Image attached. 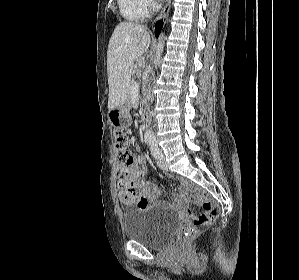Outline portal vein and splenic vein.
Listing matches in <instances>:
<instances>
[{
  "label": "portal vein and splenic vein",
  "instance_id": "18ae733b",
  "mask_svg": "<svg viewBox=\"0 0 299 280\" xmlns=\"http://www.w3.org/2000/svg\"><path fill=\"white\" fill-rule=\"evenodd\" d=\"M131 95H137L139 93V83L134 82L130 87Z\"/></svg>",
  "mask_w": 299,
  "mask_h": 280
}]
</instances>
